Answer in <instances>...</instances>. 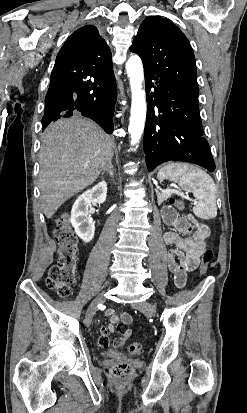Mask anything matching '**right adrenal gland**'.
Instances as JSON below:
<instances>
[{
  "label": "right adrenal gland",
  "instance_id": "obj_1",
  "mask_svg": "<svg viewBox=\"0 0 247 413\" xmlns=\"http://www.w3.org/2000/svg\"><path fill=\"white\" fill-rule=\"evenodd\" d=\"M104 172H108L109 176H114V166L112 164V160H108L106 168L101 170V174H104Z\"/></svg>",
  "mask_w": 247,
  "mask_h": 413
}]
</instances>
